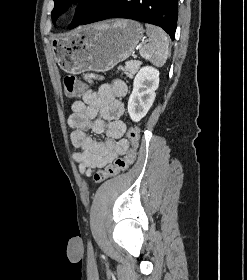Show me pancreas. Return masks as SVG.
Returning a JSON list of instances; mask_svg holds the SVG:
<instances>
[{
  "mask_svg": "<svg viewBox=\"0 0 247 280\" xmlns=\"http://www.w3.org/2000/svg\"><path fill=\"white\" fill-rule=\"evenodd\" d=\"M140 64V61H128L125 64V67H119V69L123 70L127 77L133 78V76L137 73Z\"/></svg>",
  "mask_w": 247,
  "mask_h": 280,
  "instance_id": "cf45deb5",
  "label": "pancreas"
}]
</instances>
